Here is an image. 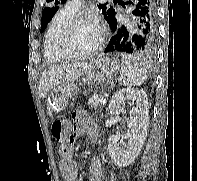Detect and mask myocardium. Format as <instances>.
Wrapping results in <instances>:
<instances>
[{
    "instance_id": "f54148a6",
    "label": "myocardium",
    "mask_w": 197,
    "mask_h": 181,
    "mask_svg": "<svg viewBox=\"0 0 197 181\" xmlns=\"http://www.w3.org/2000/svg\"><path fill=\"white\" fill-rule=\"evenodd\" d=\"M84 22H94L97 24L96 21H94L91 17L87 15H76L72 19H70L67 24L63 27L62 31L60 32V35L57 40V48L60 54L66 59V60H77V59H88L96 56L103 48L105 41H106V32L102 26L97 24L100 36L97 45L94 49H92L89 52H83V53H74L71 52L67 46L68 39L70 37L71 32L73 29Z\"/></svg>"
}]
</instances>
